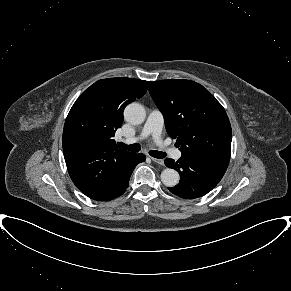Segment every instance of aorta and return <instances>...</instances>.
Returning a JSON list of instances; mask_svg holds the SVG:
<instances>
[{
    "mask_svg": "<svg viewBox=\"0 0 291 291\" xmlns=\"http://www.w3.org/2000/svg\"><path fill=\"white\" fill-rule=\"evenodd\" d=\"M125 120L131 124L138 125L144 122L146 112L139 103H130L124 110ZM161 181L167 187H174L179 182V174L176 170L166 168L161 172Z\"/></svg>",
    "mask_w": 291,
    "mask_h": 291,
    "instance_id": "762f6f07",
    "label": "aorta"
}]
</instances>
